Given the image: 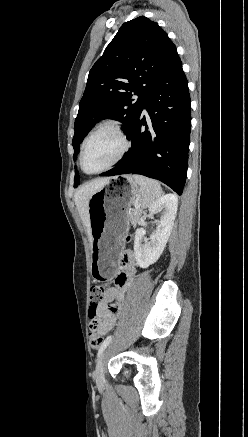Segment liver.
<instances>
[{
  "mask_svg": "<svg viewBox=\"0 0 248 437\" xmlns=\"http://www.w3.org/2000/svg\"><path fill=\"white\" fill-rule=\"evenodd\" d=\"M109 178H98L80 186L74 194V202L81 216V219L87 228L90 242H92L90 220H89V200L91 196L98 191Z\"/></svg>",
  "mask_w": 248,
  "mask_h": 437,
  "instance_id": "6515ba94",
  "label": "liver"
}]
</instances>
